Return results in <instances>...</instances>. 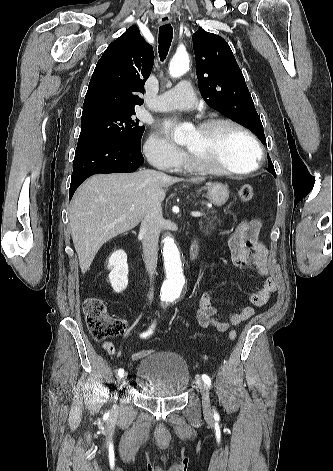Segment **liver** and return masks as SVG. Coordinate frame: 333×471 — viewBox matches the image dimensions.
Instances as JSON below:
<instances>
[{
    "instance_id": "6515ba94",
    "label": "liver",
    "mask_w": 333,
    "mask_h": 471,
    "mask_svg": "<svg viewBox=\"0 0 333 471\" xmlns=\"http://www.w3.org/2000/svg\"><path fill=\"white\" fill-rule=\"evenodd\" d=\"M179 181L145 169L130 174H98L85 181L69 209L71 236L82 273L89 270L104 243L135 228L150 206L162 203L165 188Z\"/></svg>"
}]
</instances>
